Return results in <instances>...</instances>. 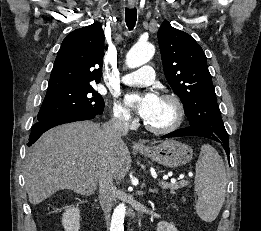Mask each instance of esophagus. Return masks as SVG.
I'll return each instance as SVG.
<instances>
[{
  "label": "esophagus",
  "mask_w": 261,
  "mask_h": 231,
  "mask_svg": "<svg viewBox=\"0 0 261 231\" xmlns=\"http://www.w3.org/2000/svg\"><path fill=\"white\" fill-rule=\"evenodd\" d=\"M135 5H136V1L135 0H128V6L130 8H134ZM135 147L141 148V147H143V145L141 143H136Z\"/></svg>",
  "instance_id": "obj_1"
}]
</instances>
